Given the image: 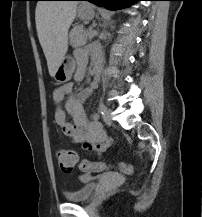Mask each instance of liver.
<instances>
[{
	"label": "liver",
	"mask_w": 202,
	"mask_h": 217,
	"mask_svg": "<svg viewBox=\"0 0 202 217\" xmlns=\"http://www.w3.org/2000/svg\"><path fill=\"white\" fill-rule=\"evenodd\" d=\"M77 3L39 2L35 21L39 42L45 54L49 74H54L68 50V31L76 17Z\"/></svg>",
	"instance_id": "obj_1"
}]
</instances>
